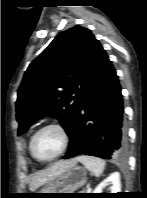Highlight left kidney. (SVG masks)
Here are the masks:
<instances>
[{"label":"left kidney","instance_id":"1","mask_svg":"<svg viewBox=\"0 0 147 198\" xmlns=\"http://www.w3.org/2000/svg\"><path fill=\"white\" fill-rule=\"evenodd\" d=\"M109 183L112 184L110 187V193L121 192V182H120V174L118 172L112 173L108 178L102 181L93 191V193H103V189Z\"/></svg>","mask_w":147,"mask_h":198}]
</instances>
